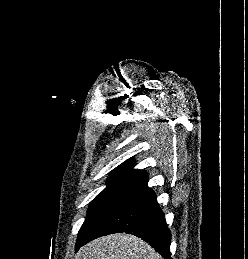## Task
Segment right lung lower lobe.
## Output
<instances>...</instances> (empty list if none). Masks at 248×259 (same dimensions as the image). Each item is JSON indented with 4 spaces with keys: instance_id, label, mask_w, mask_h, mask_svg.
<instances>
[{
    "instance_id": "obj_1",
    "label": "right lung lower lobe",
    "mask_w": 248,
    "mask_h": 259,
    "mask_svg": "<svg viewBox=\"0 0 248 259\" xmlns=\"http://www.w3.org/2000/svg\"><path fill=\"white\" fill-rule=\"evenodd\" d=\"M148 179L132 186L103 216L94 229L76 243V251L87 242L113 233H128L148 242L164 259H171V233Z\"/></svg>"
}]
</instances>
